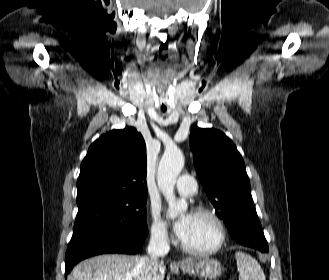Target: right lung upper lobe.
<instances>
[{
	"mask_svg": "<svg viewBox=\"0 0 329 280\" xmlns=\"http://www.w3.org/2000/svg\"><path fill=\"white\" fill-rule=\"evenodd\" d=\"M146 145L133 127L99 137L81 164L77 199L92 196L147 197Z\"/></svg>",
	"mask_w": 329,
	"mask_h": 280,
	"instance_id": "right-lung-upper-lobe-1",
	"label": "right lung upper lobe"
}]
</instances>
